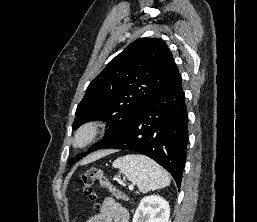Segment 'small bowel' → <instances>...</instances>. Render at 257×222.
<instances>
[{"label": "small bowel", "instance_id": "c3829d8e", "mask_svg": "<svg viewBox=\"0 0 257 222\" xmlns=\"http://www.w3.org/2000/svg\"><path fill=\"white\" fill-rule=\"evenodd\" d=\"M86 222H129V213L115 199L107 197L102 203L99 214Z\"/></svg>", "mask_w": 257, "mask_h": 222}]
</instances>
